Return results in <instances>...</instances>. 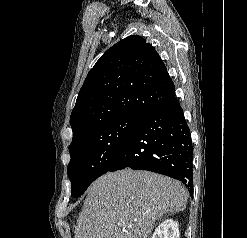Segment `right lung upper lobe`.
<instances>
[{
	"mask_svg": "<svg viewBox=\"0 0 247 238\" xmlns=\"http://www.w3.org/2000/svg\"><path fill=\"white\" fill-rule=\"evenodd\" d=\"M174 95L154 47L131 35L108 49L88 73L70 117L72 140L116 118L143 116Z\"/></svg>",
	"mask_w": 247,
	"mask_h": 238,
	"instance_id": "cb5924a9",
	"label": "right lung upper lobe"
}]
</instances>
